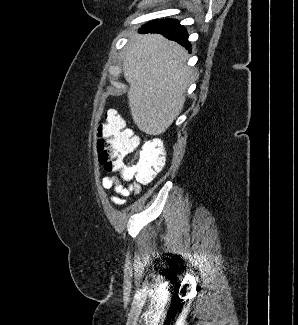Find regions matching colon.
I'll return each mask as SVG.
<instances>
[{
    "mask_svg": "<svg viewBox=\"0 0 298 325\" xmlns=\"http://www.w3.org/2000/svg\"><path fill=\"white\" fill-rule=\"evenodd\" d=\"M139 138L126 127L117 112L106 114L97 129V152L100 163L108 173L114 174L122 184L150 182L164 167V154L154 153L148 145L139 149Z\"/></svg>",
    "mask_w": 298,
    "mask_h": 325,
    "instance_id": "1",
    "label": "colon"
}]
</instances>
